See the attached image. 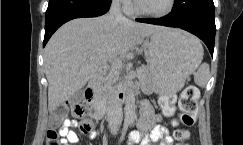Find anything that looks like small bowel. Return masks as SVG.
Listing matches in <instances>:
<instances>
[{
    "label": "small bowel",
    "instance_id": "c3829d8e",
    "mask_svg": "<svg viewBox=\"0 0 243 145\" xmlns=\"http://www.w3.org/2000/svg\"><path fill=\"white\" fill-rule=\"evenodd\" d=\"M91 124V120L87 119ZM161 116L156 114L152 107L144 103L141 106V115L138 120V131H134L129 136L131 144L151 145L153 142H160V145H173V139L169 135L168 129L160 124ZM79 122L76 120L65 119L58 130L61 136L60 143L62 145H70L77 143L78 134L73 130L77 128ZM90 138L96 137V132L89 131Z\"/></svg>",
    "mask_w": 243,
    "mask_h": 145
}]
</instances>
